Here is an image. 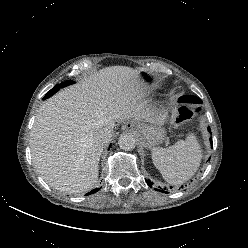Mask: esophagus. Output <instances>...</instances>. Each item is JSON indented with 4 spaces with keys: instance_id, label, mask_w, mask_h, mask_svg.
Here are the masks:
<instances>
[{
    "instance_id": "34e87169",
    "label": "esophagus",
    "mask_w": 248,
    "mask_h": 248,
    "mask_svg": "<svg viewBox=\"0 0 248 248\" xmlns=\"http://www.w3.org/2000/svg\"><path fill=\"white\" fill-rule=\"evenodd\" d=\"M133 124L131 122H126L124 125H123V130L125 131H128V130H132L133 129Z\"/></svg>"
}]
</instances>
